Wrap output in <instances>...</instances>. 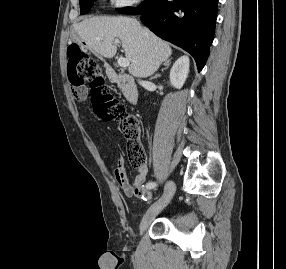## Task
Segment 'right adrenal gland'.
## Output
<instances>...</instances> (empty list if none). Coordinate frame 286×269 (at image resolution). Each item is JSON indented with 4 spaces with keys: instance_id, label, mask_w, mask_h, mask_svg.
Returning a JSON list of instances; mask_svg holds the SVG:
<instances>
[{
    "instance_id": "right-adrenal-gland-1",
    "label": "right adrenal gland",
    "mask_w": 286,
    "mask_h": 269,
    "mask_svg": "<svg viewBox=\"0 0 286 269\" xmlns=\"http://www.w3.org/2000/svg\"><path fill=\"white\" fill-rule=\"evenodd\" d=\"M170 61H171V59H168V60H166V61L163 63V65L165 66V68H163L162 71H163L164 69H166V68L169 67ZM155 77H157V75H155Z\"/></svg>"
}]
</instances>
